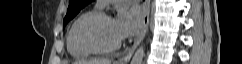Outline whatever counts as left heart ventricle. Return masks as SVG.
Listing matches in <instances>:
<instances>
[{
  "label": "left heart ventricle",
  "instance_id": "left-heart-ventricle-1",
  "mask_svg": "<svg viewBox=\"0 0 242 64\" xmlns=\"http://www.w3.org/2000/svg\"><path fill=\"white\" fill-rule=\"evenodd\" d=\"M89 36L103 46L113 45L120 40L115 32L114 20L112 18L105 19L96 25L90 30Z\"/></svg>",
  "mask_w": 242,
  "mask_h": 64
}]
</instances>
